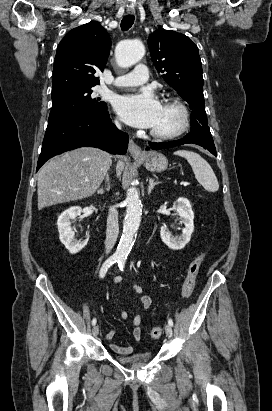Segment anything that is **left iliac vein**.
Returning <instances> with one entry per match:
<instances>
[{
  "instance_id": "4c4485c4",
  "label": "left iliac vein",
  "mask_w": 272,
  "mask_h": 411,
  "mask_svg": "<svg viewBox=\"0 0 272 411\" xmlns=\"http://www.w3.org/2000/svg\"><path fill=\"white\" fill-rule=\"evenodd\" d=\"M165 333L168 337H172L173 335L172 326H170L169 324L165 325Z\"/></svg>"
}]
</instances>
